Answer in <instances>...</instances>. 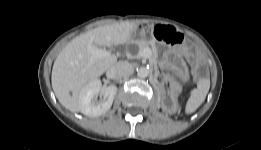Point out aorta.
I'll return each mask as SVG.
<instances>
[{
	"mask_svg": "<svg viewBox=\"0 0 261 150\" xmlns=\"http://www.w3.org/2000/svg\"><path fill=\"white\" fill-rule=\"evenodd\" d=\"M151 74V70L147 69L145 67H141L139 68V70L137 71V76L140 78H146Z\"/></svg>",
	"mask_w": 261,
	"mask_h": 150,
	"instance_id": "obj_1",
	"label": "aorta"
}]
</instances>
